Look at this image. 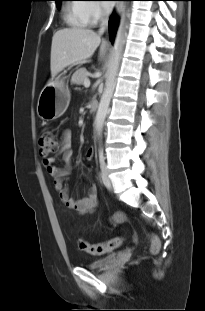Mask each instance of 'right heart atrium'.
Returning <instances> with one entry per match:
<instances>
[{"mask_svg": "<svg viewBox=\"0 0 205 311\" xmlns=\"http://www.w3.org/2000/svg\"><path fill=\"white\" fill-rule=\"evenodd\" d=\"M84 9L90 23H95L106 15V10L98 3H89Z\"/></svg>", "mask_w": 205, "mask_h": 311, "instance_id": "1", "label": "right heart atrium"}]
</instances>
